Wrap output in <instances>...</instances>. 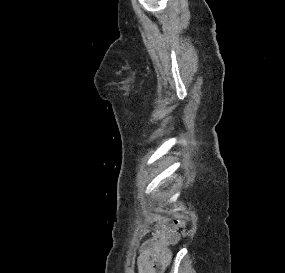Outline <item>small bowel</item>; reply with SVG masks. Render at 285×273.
<instances>
[{"instance_id":"1","label":"small bowel","mask_w":285,"mask_h":273,"mask_svg":"<svg viewBox=\"0 0 285 273\" xmlns=\"http://www.w3.org/2000/svg\"><path fill=\"white\" fill-rule=\"evenodd\" d=\"M179 240L172 222L164 219L158 235L142 244L137 258L138 273H162L171 260V247Z\"/></svg>"}]
</instances>
